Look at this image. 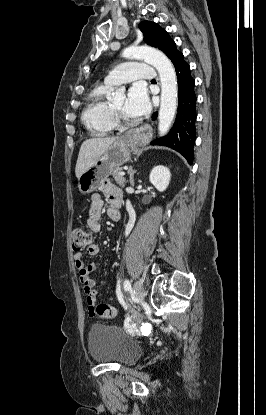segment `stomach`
<instances>
[{
    "mask_svg": "<svg viewBox=\"0 0 266 415\" xmlns=\"http://www.w3.org/2000/svg\"><path fill=\"white\" fill-rule=\"evenodd\" d=\"M131 142L128 137H122L112 143L97 161L78 178V188L81 194H89L105 182L111 172L128 162L131 158Z\"/></svg>",
    "mask_w": 266,
    "mask_h": 415,
    "instance_id": "stomach-1",
    "label": "stomach"
}]
</instances>
